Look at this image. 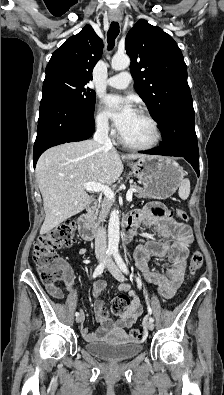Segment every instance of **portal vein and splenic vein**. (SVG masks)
<instances>
[{"mask_svg": "<svg viewBox=\"0 0 224 395\" xmlns=\"http://www.w3.org/2000/svg\"><path fill=\"white\" fill-rule=\"evenodd\" d=\"M83 187L87 190V191H93V192H102L105 197L109 200H114L115 198V194L114 192L111 190V188L107 185H103L100 183H96V182H88V183H84ZM136 190L133 188H130L127 193H126V199L127 201H131L132 200V195L133 193H135Z\"/></svg>", "mask_w": 224, "mask_h": 395, "instance_id": "obj_1", "label": "portal vein and splenic vein"}]
</instances>
